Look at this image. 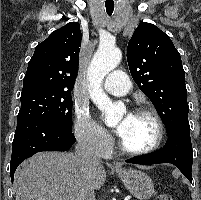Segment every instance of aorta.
Wrapping results in <instances>:
<instances>
[{
	"instance_id": "aorta-1",
	"label": "aorta",
	"mask_w": 201,
	"mask_h": 200,
	"mask_svg": "<svg viewBox=\"0 0 201 200\" xmlns=\"http://www.w3.org/2000/svg\"><path fill=\"white\" fill-rule=\"evenodd\" d=\"M121 58V51L114 43H101L88 68L90 97L96 106L105 112L107 124L116 122L118 114L113 102L101 88V84L105 76L117 67Z\"/></svg>"
}]
</instances>
